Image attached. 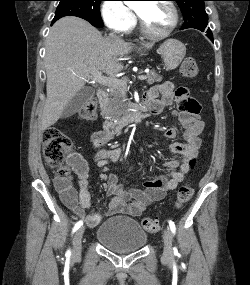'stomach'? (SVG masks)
I'll list each match as a JSON object with an SVG mask.
<instances>
[{
    "mask_svg": "<svg viewBox=\"0 0 250 285\" xmlns=\"http://www.w3.org/2000/svg\"><path fill=\"white\" fill-rule=\"evenodd\" d=\"M157 52L164 60L165 69L171 71L182 62L186 54V47L177 39H168L161 44Z\"/></svg>",
    "mask_w": 250,
    "mask_h": 285,
    "instance_id": "0dacf381",
    "label": "stomach"
}]
</instances>
